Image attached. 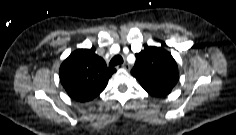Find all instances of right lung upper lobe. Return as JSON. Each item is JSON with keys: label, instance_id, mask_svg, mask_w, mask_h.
Wrapping results in <instances>:
<instances>
[{"label": "right lung upper lobe", "instance_id": "right-lung-upper-lobe-1", "mask_svg": "<svg viewBox=\"0 0 236 135\" xmlns=\"http://www.w3.org/2000/svg\"><path fill=\"white\" fill-rule=\"evenodd\" d=\"M116 70L107 67L95 54V49H78L65 59L60 67V81L68 95L77 102H86L98 96Z\"/></svg>", "mask_w": 236, "mask_h": 135}]
</instances>
